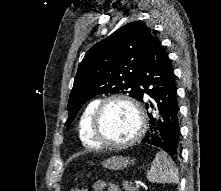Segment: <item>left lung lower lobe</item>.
Returning a JSON list of instances; mask_svg holds the SVG:
<instances>
[{
    "label": "left lung lower lobe",
    "instance_id": "0a47b994",
    "mask_svg": "<svg viewBox=\"0 0 221 191\" xmlns=\"http://www.w3.org/2000/svg\"><path fill=\"white\" fill-rule=\"evenodd\" d=\"M139 96L148 94L155 113L149 115L150 130L143 141L159 148L176 160L179 153L180 125L177 87L167 53L154 38L138 77ZM148 107V104H146Z\"/></svg>",
    "mask_w": 221,
    "mask_h": 191
}]
</instances>
